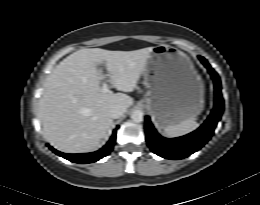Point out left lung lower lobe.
Here are the masks:
<instances>
[{
    "mask_svg": "<svg viewBox=\"0 0 260 205\" xmlns=\"http://www.w3.org/2000/svg\"><path fill=\"white\" fill-rule=\"evenodd\" d=\"M204 66L208 69L215 85V105L210 116L196 131L173 139L161 137L154 129L150 118L146 117V140L149 148L155 154L172 160L183 159L199 150L211 138L214 129L221 118L224 101L221 95V83L217 73L211 68L203 57H199Z\"/></svg>",
    "mask_w": 260,
    "mask_h": 205,
    "instance_id": "1",
    "label": "left lung lower lobe"
}]
</instances>
